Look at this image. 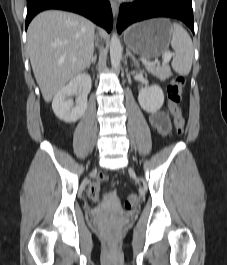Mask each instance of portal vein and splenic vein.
I'll list each match as a JSON object with an SVG mask.
<instances>
[{
	"instance_id": "portal-vein-and-splenic-vein-1",
	"label": "portal vein and splenic vein",
	"mask_w": 227,
	"mask_h": 265,
	"mask_svg": "<svg viewBox=\"0 0 227 265\" xmlns=\"http://www.w3.org/2000/svg\"><path fill=\"white\" fill-rule=\"evenodd\" d=\"M172 56H173V54L170 52L165 53L164 57H163V64L168 63L171 60ZM144 64L146 66H154V65H156V62H144Z\"/></svg>"
}]
</instances>
